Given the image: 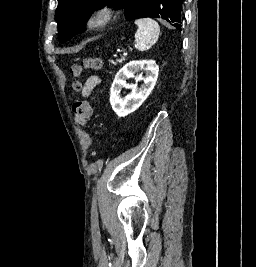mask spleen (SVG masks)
Segmentation results:
<instances>
[{
    "mask_svg": "<svg viewBox=\"0 0 256 267\" xmlns=\"http://www.w3.org/2000/svg\"><path fill=\"white\" fill-rule=\"evenodd\" d=\"M134 24L137 26V32L134 36L136 50H139V52L150 50L160 36L159 24L155 20H151V18L135 20Z\"/></svg>",
    "mask_w": 256,
    "mask_h": 267,
    "instance_id": "obj_1",
    "label": "spleen"
}]
</instances>
